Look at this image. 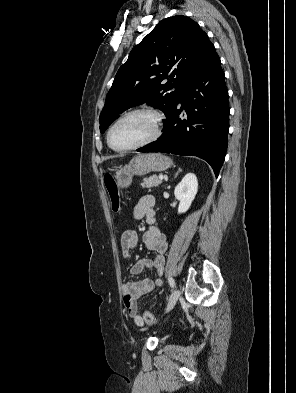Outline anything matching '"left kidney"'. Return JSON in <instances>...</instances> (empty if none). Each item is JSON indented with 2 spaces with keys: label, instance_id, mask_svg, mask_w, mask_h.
<instances>
[{
  "label": "left kidney",
  "instance_id": "obj_1",
  "mask_svg": "<svg viewBox=\"0 0 296 393\" xmlns=\"http://www.w3.org/2000/svg\"><path fill=\"white\" fill-rule=\"evenodd\" d=\"M198 191V181L194 173H187L176 186L174 194L179 201L178 213H185L191 206Z\"/></svg>",
  "mask_w": 296,
  "mask_h": 393
}]
</instances>
